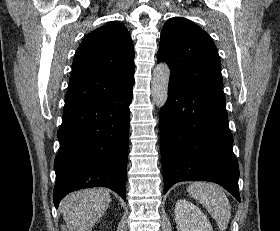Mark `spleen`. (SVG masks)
Returning <instances> with one entry per match:
<instances>
[{
	"mask_svg": "<svg viewBox=\"0 0 280 231\" xmlns=\"http://www.w3.org/2000/svg\"><path fill=\"white\" fill-rule=\"evenodd\" d=\"M189 195L198 199L202 203L215 221L220 231L226 229L230 219V203L227 195L222 191V187L215 183H206V181H195L188 185Z\"/></svg>",
	"mask_w": 280,
	"mask_h": 231,
	"instance_id": "3e777b00",
	"label": "spleen"
}]
</instances>
